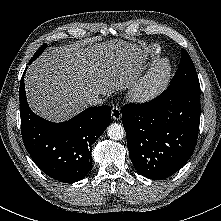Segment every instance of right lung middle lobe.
<instances>
[{"instance_id":"dd1d6c3e","label":"right lung middle lobe","mask_w":221,"mask_h":221,"mask_svg":"<svg viewBox=\"0 0 221 221\" xmlns=\"http://www.w3.org/2000/svg\"><path fill=\"white\" fill-rule=\"evenodd\" d=\"M47 47V44L42 45L38 51L34 54L30 61H34Z\"/></svg>"}]
</instances>
